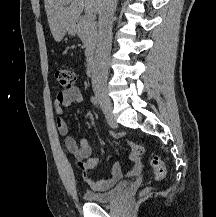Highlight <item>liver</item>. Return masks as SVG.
<instances>
[{"label": "liver", "mask_w": 216, "mask_h": 217, "mask_svg": "<svg viewBox=\"0 0 216 217\" xmlns=\"http://www.w3.org/2000/svg\"><path fill=\"white\" fill-rule=\"evenodd\" d=\"M103 0H44L48 24L56 42H60L67 31L75 26L83 10L100 11Z\"/></svg>", "instance_id": "obj_1"}]
</instances>
